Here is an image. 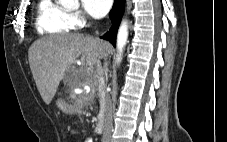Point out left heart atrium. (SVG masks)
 Masks as SVG:
<instances>
[{
	"instance_id": "obj_1",
	"label": "left heart atrium",
	"mask_w": 227,
	"mask_h": 142,
	"mask_svg": "<svg viewBox=\"0 0 227 142\" xmlns=\"http://www.w3.org/2000/svg\"><path fill=\"white\" fill-rule=\"evenodd\" d=\"M84 10L94 18L105 16L111 8L112 0H81Z\"/></svg>"
}]
</instances>
